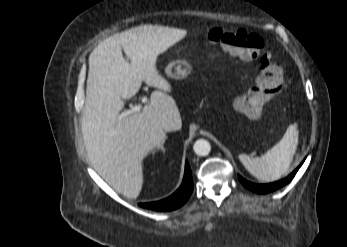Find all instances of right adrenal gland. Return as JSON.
Returning <instances> with one entry per match:
<instances>
[{
    "label": "right adrenal gland",
    "instance_id": "right-adrenal-gland-1",
    "mask_svg": "<svg viewBox=\"0 0 347 247\" xmlns=\"http://www.w3.org/2000/svg\"><path fill=\"white\" fill-rule=\"evenodd\" d=\"M161 150L164 152V150H165V149H164V147H163V146L161 147Z\"/></svg>",
    "mask_w": 347,
    "mask_h": 247
}]
</instances>
